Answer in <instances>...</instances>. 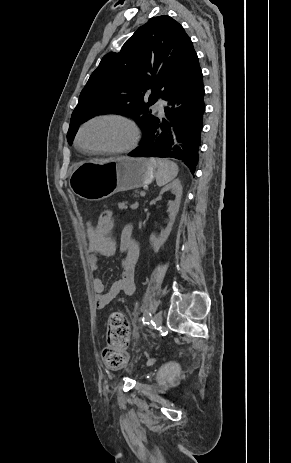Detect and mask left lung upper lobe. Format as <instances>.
Segmentation results:
<instances>
[{"label": "left lung upper lobe", "mask_w": 291, "mask_h": 463, "mask_svg": "<svg viewBox=\"0 0 291 463\" xmlns=\"http://www.w3.org/2000/svg\"><path fill=\"white\" fill-rule=\"evenodd\" d=\"M199 67L183 27L166 15L151 18L120 52L106 54L91 74L72 113L68 143L72 144L80 124L104 113L132 117L144 134L156 117L149 106Z\"/></svg>", "instance_id": "left-lung-upper-lobe-1"}]
</instances>
